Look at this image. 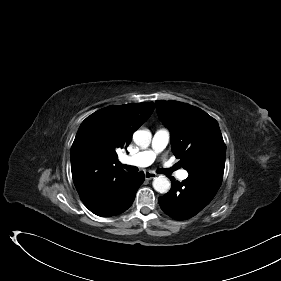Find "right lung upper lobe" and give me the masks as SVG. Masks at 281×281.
Wrapping results in <instances>:
<instances>
[{
	"label": "right lung upper lobe",
	"mask_w": 281,
	"mask_h": 281,
	"mask_svg": "<svg viewBox=\"0 0 281 281\" xmlns=\"http://www.w3.org/2000/svg\"><path fill=\"white\" fill-rule=\"evenodd\" d=\"M153 110V102L108 106L82 122L71 147V171L85 205L106 197L129 174L117 166L116 150L130 144Z\"/></svg>",
	"instance_id": "1"
}]
</instances>
